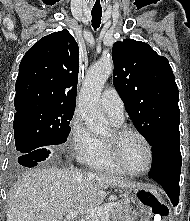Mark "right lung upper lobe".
<instances>
[{
    "label": "right lung upper lobe",
    "mask_w": 190,
    "mask_h": 221,
    "mask_svg": "<svg viewBox=\"0 0 190 221\" xmlns=\"http://www.w3.org/2000/svg\"><path fill=\"white\" fill-rule=\"evenodd\" d=\"M78 44L64 29L41 38L24 55L16 81L17 112L34 106L75 108Z\"/></svg>",
    "instance_id": "1"
}]
</instances>
